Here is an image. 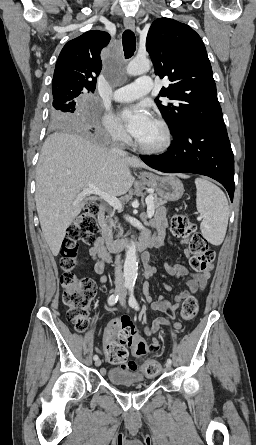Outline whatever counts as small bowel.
I'll use <instances>...</instances> for the list:
<instances>
[{"instance_id":"1","label":"small bowel","mask_w":256,"mask_h":445,"mask_svg":"<svg viewBox=\"0 0 256 445\" xmlns=\"http://www.w3.org/2000/svg\"><path fill=\"white\" fill-rule=\"evenodd\" d=\"M151 226L155 230V235L153 236V246L158 248L164 245L165 237H166V215L165 211H159L151 222ZM143 235H149L147 232L143 233ZM185 256L189 257L190 254L187 250H185ZM90 257L94 260V271L101 278L102 282H106L107 278L105 275V266L112 262V258L109 255L102 238L98 237L95 239L93 246L89 250ZM148 256V255H147ZM167 272L174 276L175 278H185L187 289L179 292L174 299V302H169L163 295L159 296L158 299L151 303V308L155 311H159L161 313L166 314L170 318L174 319L177 311L180 308L182 301L187 298L189 295L198 294L202 292L207 284V281L210 277L208 272H195L186 268L184 265L176 264V265H167ZM157 270L153 266H147L145 275L147 278H151L156 275ZM166 290H171L170 285H164ZM171 325L175 329H179L181 324L179 322L170 323L167 319L158 318L156 319L151 326L145 327V333L147 335L152 336V341L147 344V349L150 351H156L160 348V343L158 340V333L162 326ZM119 328V320H112L105 328L103 334V345L104 347L111 342L115 341L116 334ZM147 350V352H148ZM120 368H126L131 370H136L137 365L133 361H125L121 363Z\"/></svg>"}]
</instances>
